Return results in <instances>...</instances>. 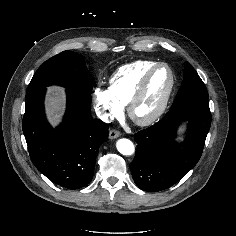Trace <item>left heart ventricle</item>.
Segmentation results:
<instances>
[{
	"mask_svg": "<svg viewBox=\"0 0 236 236\" xmlns=\"http://www.w3.org/2000/svg\"><path fill=\"white\" fill-rule=\"evenodd\" d=\"M169 81L170 75L166 68H160L152 75L143 97L134 109L136 118H146L157 109L165 95Z\"/></svg>",
	"mask_w": 236,
	"mask_h": 236,
	"instance_id": "left-heart-ventricle-1",
	"label": "left heart ventricle"
}]
</instances>
